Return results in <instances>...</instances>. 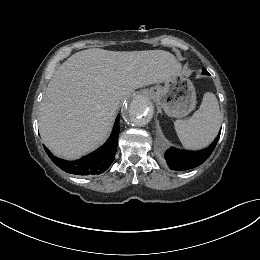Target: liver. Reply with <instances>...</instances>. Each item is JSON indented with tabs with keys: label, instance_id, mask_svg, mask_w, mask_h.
<instances>
[{
	"label": "liver",
	"instance_id": "6515ba94",
	"mask_svg": "<svg viewBox=\"0 0 260 260\" xmlns=\"http://www.w3.org/2000/svg\"><path fill=\"white\" fill-rule=\"evenodd\" d=\"M181 68L163 50L93 48L75 53L47 86L39 116L44 144L69 160L93 150L107 136L120 100L135 89L165 82Z\"/></svg>",
	"mask_w": 260,
	"mask_h": 260
}]
</instances>
